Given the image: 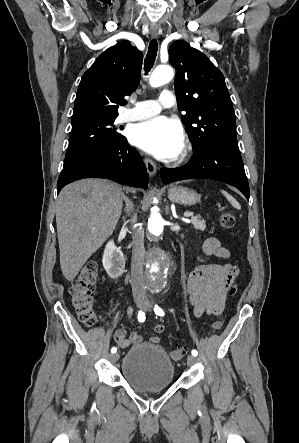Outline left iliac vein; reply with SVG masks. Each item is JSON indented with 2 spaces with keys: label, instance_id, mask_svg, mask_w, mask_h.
Returning <instances> with one entry per match:
<instances>
[{
  "label": "left iliac vein",
  "instance_id": "left-iliac-vein-1",
  "mask_svg": "<svg viewBox=\"0 0 299 443\" xmlns=\"http://www.w3.org/2000/svg\"><path fill=\"white\" fill-rule=\"evenodd\" d=\"M146 310L150 308V304H146L144 307ZM196 363V358L193 355H188L187 364L188 366H193Z\"/></svg>",
  "mask_w": 299,
  "mask_h": 443
}]
</instances>
